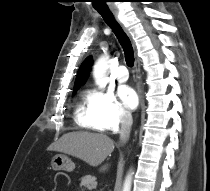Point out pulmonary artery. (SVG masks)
Listing matches in <instances>:
<instances>
[{
	"mask_svg": "<svg viewBox=\"0 0 210 191\" xmlns=\"http://www.w3.org/2000/svg\"><path fill=\"white\" fill-rule=\"evenodd\" d=\"M116 79L119 82H126L128 80V70L125 66L121 65L116 71Z\"/></svg>",
	"mask_w": 210,
	"mask_h": 191,
	"instance_id": "e3ab8cb5",
	"label": "pulmonary artery"
}]
</instances>
